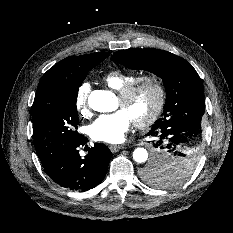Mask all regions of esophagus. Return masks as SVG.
I'll return each instance as SVG.
<instances>
[{"label": "esophagus", "mask_w": 233, "mask_h": 233, "mask_svg": "<svg viewBox=\"0 0 233 233\" xmlns=\"http://www.w3.org/2000/svg\"><path fill=\"white\" fill-rule=\"evenodd\" d=\"M123 146L122 145H110L111 152H117L119 151Z\"/></svg>", "instance_id": "1"}]
</instances>
